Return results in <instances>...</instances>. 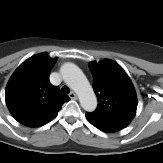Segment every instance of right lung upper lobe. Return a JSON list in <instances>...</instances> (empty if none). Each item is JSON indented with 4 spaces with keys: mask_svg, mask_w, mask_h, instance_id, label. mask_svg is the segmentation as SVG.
<instances>
[{
    "mask_svg": "<svg viewBox=\"0 0 163 163\" xmlns=\"http://www.w3.org/2000/svg\"><path fill=\"white\" fill-rule=\"evenodd\" d=\"M57 59L46 53L36 54L24 61L11 76L5 91L6 104L19 123H47L57 115L64 102L70 100L49 81Z\"/></svg>",
    "mask_w": 163,
    "mask_h": 163,
    "instance_id": "cb5924a9",
    "label": "right lung upper lobe"
}]
</instances>
